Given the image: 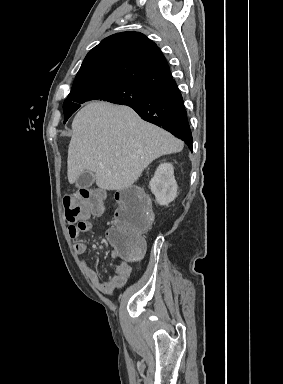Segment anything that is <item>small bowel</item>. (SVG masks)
I'll return each mask as SVG.
<instances>
[{
  "label": "small bowel",
  "instance_id": "obj_1",
  "mask_svg": "<svg viewBox=\"0 0 283 384\" xmlns=\"http://www.w3.org/2000/svg\"><path fill=\"white\" fill-rule=\"evenodd\" d=\"M92 223L89 220H84L76 226H69V235L71 238L76 239L80 234L91 231ZM74 251L76 255L82 257L87 251V245L83 241H77L74 244ZM112 256L119 260V264L115 269L114 275L102 280L86 263L84 259H81L82 267L92 282V284L104 294H112L116 289L123 287L130 278L133 268L131 262L124 261L118 257L115 251L112 252Z\"/></svg>",
  "mask_w": 283,
  "mask_h": 384
}]
</instances>
